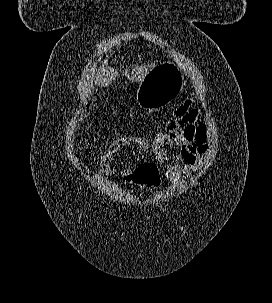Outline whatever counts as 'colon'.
Here are the masks:
<instances>
[{"instance_id":"obj_1","label":"colon","mask_w":272,"mask_h":303,"mask_svg":"<svg viewBox=\"0 0 272 303\" xmlns=\"http://www.w3.org/2000/svg\"><path fill=\"white\" fill-rule=\"evenodd\" d=\"M107 147L99 157L100 166L104 161V154ZM133 179L134 183L139 185L155 186L157 185L159 179L158 170L153 164H143L135 170Z\"/></svg>"}]
</instances>
